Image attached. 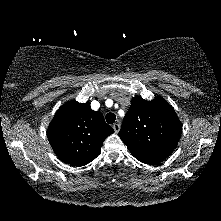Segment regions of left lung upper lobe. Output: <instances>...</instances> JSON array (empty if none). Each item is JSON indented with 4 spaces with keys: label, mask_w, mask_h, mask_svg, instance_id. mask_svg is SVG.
I'll list each match as a JSON object with an SVG mask.
<instances>
[{
    "label": "left lung upper lobe",
    "mask_w": 221,
    "mask_h": 221,
    "mask_svg": "<svg viewBox=\"0 0 221 221\" xmlns=\"http://www.w3.org/2000/svg\"><path fill=\"white\" fill-rule=\"evenodd\" d=\"M182 124L162 97L152 101L136 96L119 132L131 154L146 164H158L176 148Z\"/></svg>",
    "instance_id": "obj_1"
}]
</instances>
